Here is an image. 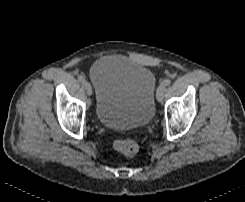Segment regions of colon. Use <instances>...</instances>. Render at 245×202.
<instances>
[{"label": "colon", "instance_id": "1", "mask_svg": "<svg viewBox=\"0 0 245 202\" xmlns=\"http://www.w3.org/2000/svg\"><path fill=\"white\" fill-rule=\"evenodd\" d=\"M114 149L126 157L136 155L139 150V145L134 140L116 139L113 143Z\"/></svg>", "mask_w": 245, "mask_h": 202}]
</instances>
